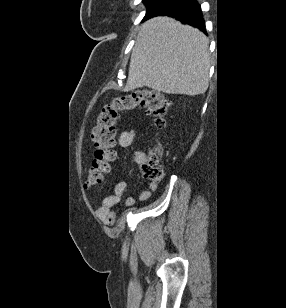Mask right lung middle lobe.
<instances>
[{
    "label": "right lung middle lobe",
    "instance_id": "dd1d6c3e",
    "mask_svg": "<svg viewBox=\"0 0 286 308\" xmlns=\"http://www.w3.org/2000/svg\"><path fill=\"white\" fill-rule=\"evenodd\" d=\"M172 0H143L144 4L147 7V14H150L154 11L160 10L165 7Z\"/></svg>",
    "mask_w": 286,
    "mask_h": 308
}]
</instances>
